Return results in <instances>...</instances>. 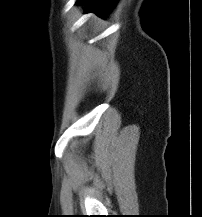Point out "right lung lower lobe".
<instances>
[{
    "instance_id": "obj_1",
    "label": "right lung lower lobe",
    "mask_w": 202,
    "mask_h": 217,
    "mask_svg": "<svg viewBox=\"0 0 202 217\" xmlns=\"http://www.w3.org/2000/svg\"><path fill=\"white\" fill-rule=\"evenodd\" d=\"M117 0H77L76 3L86 2L87 7L85 13L93 12L99 17L105 14L115 5Z\"/></svg>"
}]
</instances>
